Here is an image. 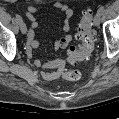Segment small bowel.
Wrapping results in <instances>:
<instances>
[{
    "label": "small bowel",
    "mask_w": 119,
    "mask_h": 119,
    "mask_svg": "<svg viewBox=\"0 0 119 119\" xmlns=\"http://www.w3.org/2000/svg\"><path fill=\"white\" fill-rule=\"evenodd\" d=\"M44 8L45 7L43 6L30 5L27 7L25 12L26 17L31 21L27 37V50H26L27 55L30 58L33 57V49H36L39 46V41L35 38V32L38 28V21L36 18V14ZM53 8L63 14L64 19L61 24L60 30L66 33L62 38L58 39L54 43V48L64 49L68 46V44L72 39L71 35L68 34V32L70 30V19L73 15V12L65 3L62 2L54 3ZM33 62L35 66L42 69L41 75L46 80H55L59 78L62 74L64 67V62L62 60H53L47 63H43L42 61L35 59Z\"/></svg>",
    "instance_id": "small-bowel-1"
}]
</instances>
